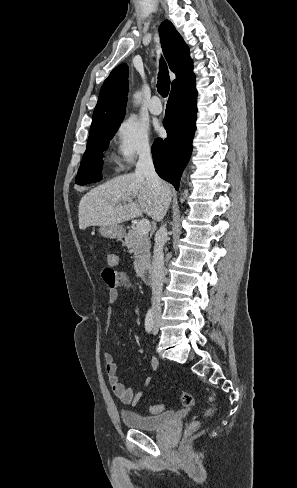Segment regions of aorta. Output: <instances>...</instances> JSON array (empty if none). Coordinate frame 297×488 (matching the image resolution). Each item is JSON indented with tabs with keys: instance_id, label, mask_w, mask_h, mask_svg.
<instances>
[{
	"instance_id": "obj_1",
	"label": "aorta",
	"mask_w": 297,
	"mask_h": 488,
	"mask_svg": "<svg viewBox=\"0 0 297 488\" xmlns=\"http://www.w3.org/2000/svg\"><path fill=\"white\" fill-rule=\"evenodd\" d=\"M133 99H134V103L135 104H139L140 101H141V92L140 91H137L134 95H133Z\"/></svg>"
}]
</instances>
